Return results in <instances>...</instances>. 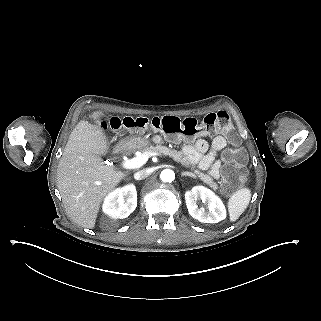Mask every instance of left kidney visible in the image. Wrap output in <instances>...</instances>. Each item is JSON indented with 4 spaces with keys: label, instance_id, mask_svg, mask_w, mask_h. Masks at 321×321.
Masks as SVG:
<instances>
[{
    "label": "left kidney",
    "instance_id": "left-kidney-1",
    "mask_svg": "<svg viewBox=\"0 0 321 321\" xmlns=\"http://www.w3.org/2000/svg\"><path fill=\"white\" fill-rule=\"evenodd\" d=\"M207 205L205 208H198L197 200ZM186 206L189 214L203 223H218L226 218V209L222 200L213 191L204 186H194L185 193Z\"/></svg>",
    "mask_w": 321,
    "mask_h": 321
}]
</instances>
